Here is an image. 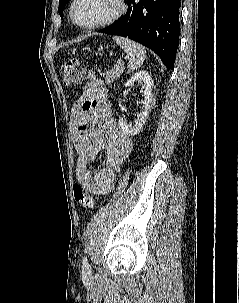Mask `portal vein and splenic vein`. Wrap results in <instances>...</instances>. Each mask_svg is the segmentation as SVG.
Wrapping results in <instances>:
<instances>
[{"label":"portal vein and splenic vein","mask_w":239,"mask_h":303,"mask_svg":"<svg viewBox=\"0 0 239 303\" xmlns=\"http://www.w3.org/2000/svg\"><path fill=\"white\" fill-rule=\"evenodd\" d=\"M120 67H124V64L116 65L115 68L118 70Z\"/></svg>","instance_id":"18ae733b"}]
</instances>
